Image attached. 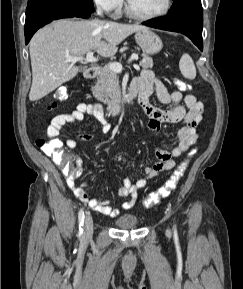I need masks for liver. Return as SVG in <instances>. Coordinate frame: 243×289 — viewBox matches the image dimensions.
<instances>
[{"label":"liver","instance_id":"6515ba94","mask_svg":"<svg viewBox=\"0 0 243 289\" xmlns=\"http://www.w3.org/2000/svg\"><path fill=\"white\" fill-rule=\"evenodd\" d=\"M143 29L146 27L98 19H61L39 29L29 43L30 101L43 98L77 75L80 69L67 61L68 55L82 56L94 50L103 57H112L118 44Z\"/></svg>","mask_w":243,"mask_h":289}]
</instances>
